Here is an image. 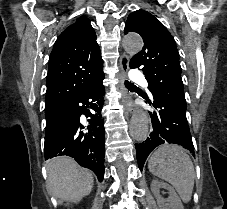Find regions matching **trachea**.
I'll list each match as a JSON object with an SVG mask.
<instances>
[{"mask_svg": "<svg viewBox=\"0 0 227 209\" xmlns=\"http://www.w3.org/2000/svg\"><path fill=\"white\" fill-rule=\"evenodd\" d=\"M125 85H126V87H128V88L136 87L134 84H132L131 82H128L127 80H126V82H125Z\"/></svg>", "mask_w": 227, "mask_h": 209, "instance_id": "1", "label": "trachea"}]
</instances>
